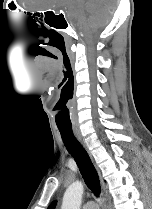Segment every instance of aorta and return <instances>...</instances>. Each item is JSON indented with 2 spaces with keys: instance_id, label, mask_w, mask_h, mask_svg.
Wrapping results in <instances>:
<instances>
[{
  "instance_id": "aorta-1",
  "label": "aorta",
  "mask_w": 152,
  "mask_h": 209,
  "mask_svg": "<svg viewBox=\"0 0 152 209\" xmlns=\"http://www.w3.org/2000/svg\"><path fill=\"white\" fill-rule=\"evenodd\" d=\"M83 192L82 182H73L64 193L61 209H80Z\"/></svg>"
}]
</instances>
